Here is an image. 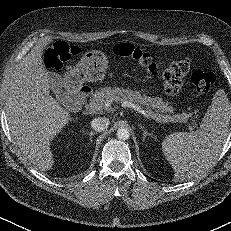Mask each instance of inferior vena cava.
<instances>
[{"label":"inferior vena cava","instance_id":"obj_1","mask_svg":"<svg viewBox=\"0 0 231 231\" xmlns=\"http://www.w3.org/2000/svg\"><path fill=\"white\" fill-rule=\"evenodd\" d=\"M110 121L106 117H98L92 120L91 127L97 131L102 132L108 128Z\"/></svg>","mask_w":231,"mask_h":231}]
</instances>
